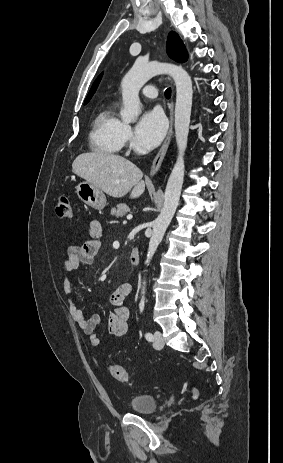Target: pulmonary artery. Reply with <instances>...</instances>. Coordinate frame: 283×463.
<instances>
[{
  "label": "pulmonary artery",
  "instance_id": "e3ab8cb5",
  "mask_svg": "<svg viewBox=\"0 0 283 463\" xmlns=\"http://www.w3.org/2000/svg\"><path fill=\"white\" fill-rule=\"evenodd\" d=\"M141 93H142L143 96H145L147 98H152V99L156 98L157 95H158L157 89L153 85L145 86L144 88H142Z\"/></svg>",
  "mask_w": 283,
  "mask_h": 463
}]
</instances>
